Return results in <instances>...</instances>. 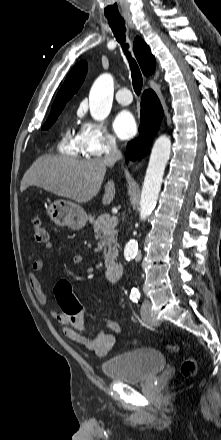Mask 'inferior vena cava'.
<instances>
[{
  "label": "inferior vena cava",
  "instance_id": "obj_1",
  "mask_svg": "<svg viewBox=\"0 0 221 440\" xmlns=\"http://www.w3.org/2000/svg\"><path fill=\"white\" fill-rule=\"evenodd\" d=\"M122 158V153L118 149L116 143L114 141H109L107 143V150L105 152L104 161L108 165H113L117 160Z\"/></svg>",
  "mask_w": 221,
  "mask_h": 440
}]
</instances>
